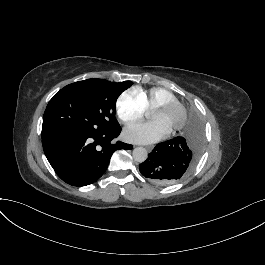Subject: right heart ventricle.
<instances>
[{
	"label": "right heart ventricle",
	"instance_id": "1",
	"mask_svg": "<svg viewBox=\"0 0 265 265\" xmlns=\"http://www.w3.org/2000/svg\"><path fill=\"white\" fill-rule=\"evenodd\" d=\"M135 94L141 99L143 102L146 111H151L153 108L160 102L164 100L175 99V96L168 90L155 87L148 91L137 89Z\"/></svg>",
	"mask_w": 265,
	"mask_h": 265
}]
</instances>
